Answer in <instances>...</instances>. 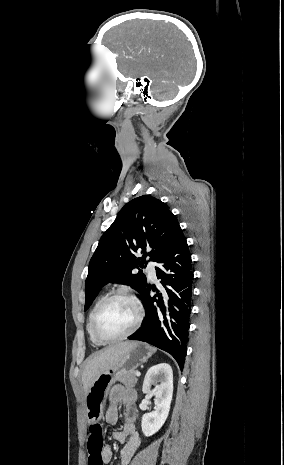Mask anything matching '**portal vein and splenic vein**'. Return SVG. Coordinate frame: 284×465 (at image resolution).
<instances>
[{
	"label": "portal vein and splenic vein",
	"mask_w": 284,
	"mask_h": 465,
	"mask_svg": "<svg viewBox=\"0 0 284 465\" xmlns=\"http://www.w3.org/2000/svg\"><path fill=\"white\" fill-rule=\"evenodd\" d=\"M135 375H136V377H140L141 373H139V371H138V373H135Z\"/></svg>",
	"instance_id": "1"
}]
</instances>
